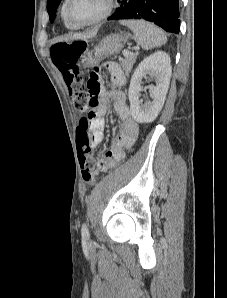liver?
I'll list each match as a JSON object with an SVG mask.
<instances>
[{"label":"liver","instance_id":"1","mask_svg":"<svg viewBox=\"0 0 227 298\" xmlns=\"http://www.w3.org/2000/svg\"><path fill=\"white\" fill-rule=\"evenodd\" d=\"M97 31H93L90 33H77L73 35H68L66 37H61L56 41H72V40H87L96 35Z\"/></svg>","mask_w":227,"mask_h":298}]
</instances>
